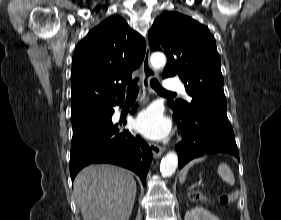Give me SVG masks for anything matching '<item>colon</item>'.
Returning <instances> with one entry per match:
<instances>
[{
  "label": "colon",
  "mask_w": 281,
  "mask_h": 220,
  "mask_svg": "<svg viewBox=\"0 0 281 220\" xmlns=\"http://www.w3.org/2000/svg\"><path fill=\"white\" fill-rule=\"evenodd\" d=\"M191 197L194 200H202L204 198L203 195L200 194L199 192H193L191 194ZM237 197H238V193L233 192V193H230V194L222 195L219 198V201H220L221 204H228L230 202L235 201L237 199Z\"/></svg>",
  "instance_id": "obj_1"
}]
</instances>
